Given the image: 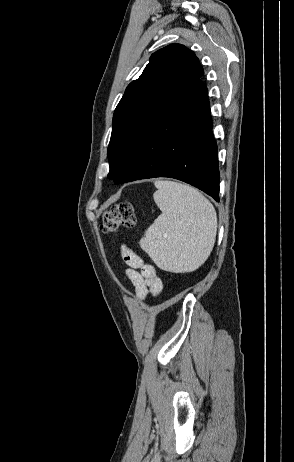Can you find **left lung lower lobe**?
Masks as SVG:
<instances>
[{
  "mask_svg": "<svg viewBox=\"0 0 294 462\" xmlns=\"http://www.w3.org/2000/svg\"><path fill=\"white\" fill-rule=\"evenodd\" d=\"M154 177L184 181L219 201L217 145L207 88L200 80L156 108L113 180L121 184Z\"/></svg>",
  "mask_w": 294,
  "mask_h": 462,
  "instance_id": "1",
  "label": "left lung lower lobe"
}]
</instances>
